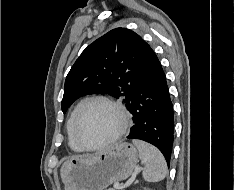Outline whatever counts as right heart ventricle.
I'll list each match as a JSON object with an SVG mask.
<instances>
[{
  "mask_svg": "<svg viewBox=\"0 0 234 190\" xmlns=\"http://www.w3.org/2000/svg\"><path fill=\"white\" fill-rule=\"evenodd\" d=\"M84 102L81 101L80 103H78L75 108L73 109V111L70 114V117L67 121L66 124V130H67V135H68V142L69 145L71 147V149H73L74 151L80 152L82 151V149L79 147V145L74 141L73 136H72V130H73V124L77 115V112L79 111L80 107L82 106Z\"/></svg>",
  "mask_w": 234,
  "mask_h": 190,
  "instance_id": "right-heart-ventricle-1",
  "label": "right heart ventricle"
}]
</instances>
